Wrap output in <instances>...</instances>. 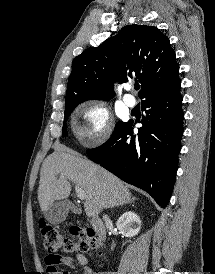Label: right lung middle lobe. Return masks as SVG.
<instances>
[{
	"label": "right lung middle lobe",
	"mask_w": 215,
	"mask_h": 274,
	"mask_svg": "<svg viewBox=\"0 0 215 274\" xmlns=\"http://www.w3.org/2000/svg\"><path fill=\"white\" fill-rule=\"evenodd\" d=\"M79 103L77 104H73V105H68V106H65V118H64V125H63V131H62V134L63 135H66L67 131H66V126H65V121L67 119V117L69 116V114L74 110V108L78 105ZM122 122H118L116 124V127H119L121 125Z\"/></svg>",
	"instance_id": "obj_1"
}]
</instances>
